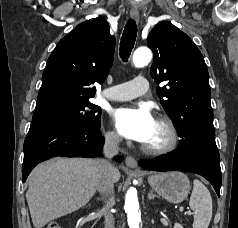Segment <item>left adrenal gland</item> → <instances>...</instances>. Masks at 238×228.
Segmentation results:
<instances>
[{
	"instance_id": "left-adrenal-gland-1",
	"label": "left adrenal gland",
	"mask_w": 238,
	"mask_h": 228,
	"mask_svg": "<svg viewBox=\"0 0 238 228\" xmlns=\"http://www.w3.org/2000/svg\"><path fill=\"white\" fill-rule=\"evenodd\" d=\"M148 199L149 200H151V199H153L154 197H157L155 194H153V191H150L149 193H148Z\"/></svg>"
}]
</instances>
